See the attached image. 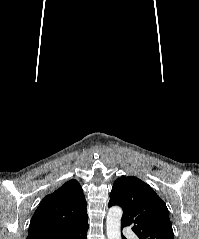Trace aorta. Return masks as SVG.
Instances as JSON below:
<instances>
[{
	"label": "aorta",
	"mask_w": 199,
	"mask_h": 239,
	"mask_svg": "<svg viewBox=\"0 0 199 239\" xmlns=\"http://www.w3.org/2000/svg\"><path fill=\"white\" fill-rule=\"evenodd\" d=\"M122 209L118 206L111 207L107 214V237L108 239H121Z\"/></svg>",
	"instance_id": "762f6f07"
}]
</instances>
